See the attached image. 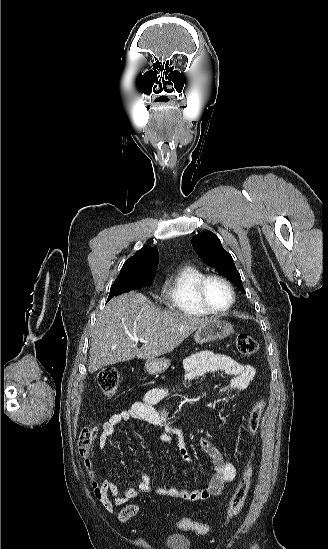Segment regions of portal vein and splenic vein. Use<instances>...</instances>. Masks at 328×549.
Here are the masks:
<instances>
[{"label":"portal vein and splenic vein","instance_id":"obj_1","mask_svg":"<svg viewBox=\"0 0 328 549\" xmlns=\"http://www.w3.org/2000/svg\"><path fill=\"white\" fill-rule=\"evenodd\" d=\"M133 341H143V339H138V337H132ZM144 343H148V341H144Z\"/></svg>","mask_w":328,"mask_h":549}]
</instances>
